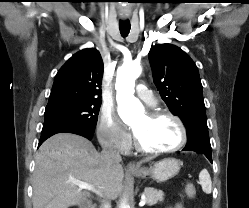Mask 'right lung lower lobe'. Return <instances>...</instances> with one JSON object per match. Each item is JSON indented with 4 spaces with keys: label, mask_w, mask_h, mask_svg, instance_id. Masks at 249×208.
<instances>
[{
    "label": "right lung lower lobe",
    "mask_w": 249,
    "mask_h": 208,
    "mask_svg": "<svg viewBox=\"0 0 249 208\" xmlns=\"http://www.w3.org/2000/svg\"><path fill=\"white\" fill-rule=\"evenodd\" d=\"M62 132L78 134L83 137H86L89 140L92 138V135L94 133V132L87 131L83 128L76 127V126L69 125V124H63V123H57V122H46L43 124V129L41 132V137H40L38 147L50 136L56 133H62Z\"/></svg>",
    "instance_id": "98d812e1"
}]
</instances>
